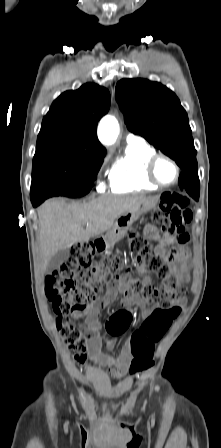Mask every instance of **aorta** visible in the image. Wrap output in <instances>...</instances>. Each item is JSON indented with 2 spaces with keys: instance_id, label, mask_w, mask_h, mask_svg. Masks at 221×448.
I'll use <instances>...</instances> for the list:
<instances>
[{
  "instance_id": "aorta-1",
  "label": "aorta",
  "mask_w": 221,
  "mask_h": 448,
  "mask_svg": "<svg viewBox=\"0 0 221 448\" xmlns=\"http://www.w3.org/2000/svg\"><path fill=\"white\" fill-rule=\"evenodd\" d=\"M119 123L114 116L103 117L98 126V138L105 145H113L119 135Z\"/></svg>"
}]
</instances>
